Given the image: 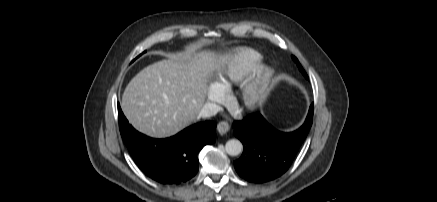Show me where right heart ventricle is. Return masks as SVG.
Wrapping results in <instances>:
<instances>
[{
	"instance_id": "e07e8e85",
	"label": "right heart ventricle",
	"mask_w": 437,
	"mask_h": 202,
	"mask_svg": "<svg viewBox=\"0 0 437 202\" xmlns=\"http://www.w3.org/2000/svg\"><path fill=\"white\" fill-rule=\"evenodd\" d=\"M262 62L259 52L251 48L237 50L225 69L218 75L216 85L224 91L245 80Z\"/></svg>"
}]
</instances>
